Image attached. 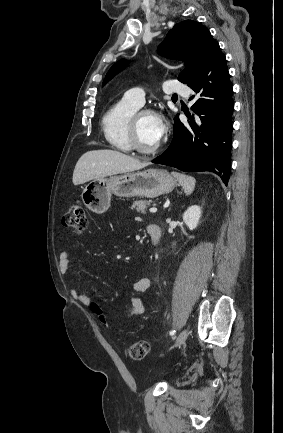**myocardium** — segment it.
I'll list each match as a JSON object with an SVG mask.
<instances>
[{
	"mask_svg": "<svg viewBox=\"0 0 283 433\" xmlns=\"http://www.w3.org/2000/svg\"><path fill=\"white\" fill-rule=\"evenodd\" d=\"M146 114H153V115L158 117V114L154 110L149 109V108H143V109L137 110L133 114L131 121H130V125H129V139H130L131 149L142 156H157L158 154H160L164 151L163 146H160L155 151H147L142 147V144L139 140V135H138L139 122H140L142 116H144Z\"/></svg>",
	"mask_w": 283,
	"mask_h": 433,
	"instance_id": "myocardium-1",
	"label": "myocardium"
}]
</instances>
